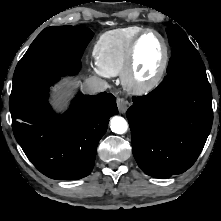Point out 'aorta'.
I'll return each instance as SVG.
<instances>
[{"mask_svg": "<svg viewBox=\"0 0 221 221\" xmlns=\"http://www.w3.org/2000/svg\"><path fill=\"white\" fill-rule=\"evenodd\" d=\"M111 131L116 134H123L128 129V124L123 117L114 116L110 120Z\"/></svg>", "mask_w": 221, "mask_h": 221, "instance_id": "1", "label": "aorta"}]
</instances>
